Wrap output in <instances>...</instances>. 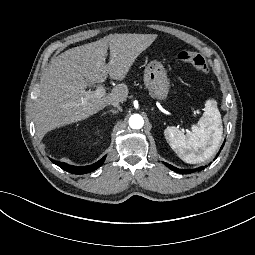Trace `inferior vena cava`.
I'll return each mask as SVG.
<instances>
[{"mask_svg":"<svg viewBox=\"0 0 255 255\" xmlns=\"http://www.w3.org/2000/svg\"><path fill=\"white\" fill-rule=\"evenodd\" d=\"M110 105H112L114 108H116L117 111H122L118 101H112Z\"/></svg>","mask_w":255,"mask_h":255,"instance_id":"obj_1","label":"inferior vena cava"}]
</instances>
